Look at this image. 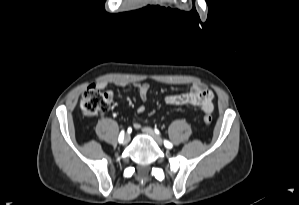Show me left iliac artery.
Masks as SVG:
<instances>
[{"label":"left iliac artery","mask_w":299,"mask_h":205,"mask_svg":"<svg viewBox=\"0 0 299 205\" xmlns=\"http://www.w3.org/2000/svg\"><path fill=\"white\" fill-rule=\"evenodd\" d=\"M164 145L169 149L173 147L172 143L167 140L164 141Z\"/></svg>","instance_id":"44dca946"}]
</instances>
